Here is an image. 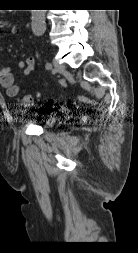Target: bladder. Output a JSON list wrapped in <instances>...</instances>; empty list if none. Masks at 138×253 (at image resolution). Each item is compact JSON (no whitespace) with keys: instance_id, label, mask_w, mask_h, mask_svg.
Wrapping results in <instances>:
<instances>
[{"instance_id":"obj_1","label":"bladder","mask_w":138,"mask_h":253,"mask_svg":"<svg viewBox=\"0 0 138 253\" xmlns=\"http://www.w3.org/2000/svg\"><path fill=\"white\" fill-rule=\"evenodd\" d=\"M57 120L55 118H48L46 119L41 125L44 128H50L56 124Z\"/></svg>"}]
</instances>
